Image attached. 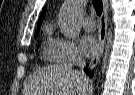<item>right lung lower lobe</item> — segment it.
<instances>
[{"mask_svg":"<svg viewBox=\"0 0 135 95\" xmlns=\"http://www.w3.org/2000/svg\"><path fill=\"white\" fill-rule=\"evenodd\" d=\"M85 72H86L87 74H90V72H89V70H88V69H85Z\"/></svg>","mask_w":135,"mask_h":95,"instance_id":"98d812e1","label":"right lung lower lobe"}]
</instances>
